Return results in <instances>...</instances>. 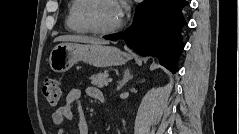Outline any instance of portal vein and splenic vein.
<instances>
[{
	"mask_svg": "<svg viewBox=\"0 0 239 134\" xmlns=\"http://www.w3.org/2000/svg\"><path fill=\"white\" fill-rule=\"evenodd\" d=\"M112 81H113V79H112V78H109V79H108V82H109V83H110V82H112Z\"/></svg>",
	"mask_w": 239,
	"mask_h": 134,
	"instance_id": "portal-vein-and-splenic-vein-1",
	"label": "portal vein and splenic vein"
}]
</instances>
